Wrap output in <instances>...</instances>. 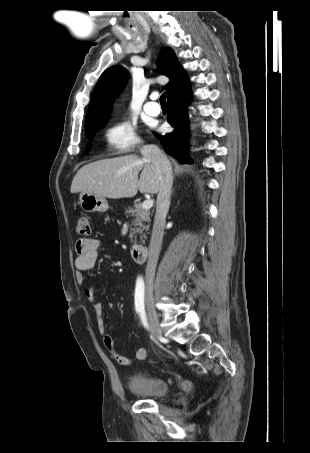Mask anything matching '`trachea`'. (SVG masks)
<instances>
[{"label": "trachea", "mask_w": 310, "mask_h": 453, "mask_svg": "<svg viewBox=\"0 0 310 453\" xmlns=\"http://www.w3.org/2000/svg\"><path fill=\"white\" fill-rule=\"evenodd\" d=\"M160 104H161V105H166V95H165V93H163V94L160 96Z\"/></svg>", "instance_id": "obj_1"}]
</instances>
